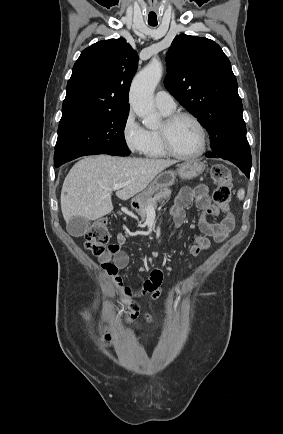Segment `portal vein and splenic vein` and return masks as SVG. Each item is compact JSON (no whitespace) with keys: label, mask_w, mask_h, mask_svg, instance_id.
I'll return each mask as SVG.
<instances>
[{"label":"portal vein and splenic vein","mask_w":283,"mask_h":434,"mask_svg":"<svg viewBox=\"0 0 283 434\" xmlns=\"http://www.w3.org/2000/svg\"><path fill=\"white\" fill-rule=\"evenodd\" d=\"M126 184H115L112 188H111V191L112 190H119V189H121L122 187H124ZM155 212V207H149L148 208V213L149 214H151V213H154Z\"/></svg>","instance_id":"1"}]
</instances>
